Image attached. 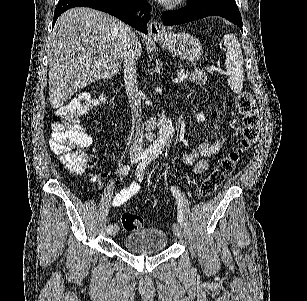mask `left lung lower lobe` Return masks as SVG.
Returning a JSON list of instances; mask_svg holds the SVG:
<instances>
[{
	"mask_svg": "<svg viewBox=\"0 0 307 301\" xmlns=\"http://www.w3.org/2000/svg\"><path fill=\"white\" fill-rule=\"evenodd\" d=\"M207 16L224 17L242 30V18L236 3L225 0H208L190 4L178 11L164 12L162 19L165 25H179Z\"/></svg>",
	"mask_w": 307,
	"mask_h": 301,
	"instance_id": "left-lung-lower-lobe-1",
	"label": "left lung lower lobe"
}]
</instances>
